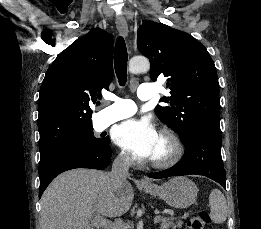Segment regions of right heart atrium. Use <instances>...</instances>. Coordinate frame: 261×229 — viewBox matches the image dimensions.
Here are the masks:
<instances>
[{"label":"right heart atrium","instance_id":"1","mask_svg":"<svg viewBox=\"0 0 261 229\" xmlns=\"http://www.w3.org/2000/svg\"><path fill=\"white\" fill-rule=\"evenodd\" d=\"M118 161L121 164L129 167L134 164V157L127 149H121L118 154Z\"/></svg>","mask_w":261,"mask_h":229}]
</instances>
